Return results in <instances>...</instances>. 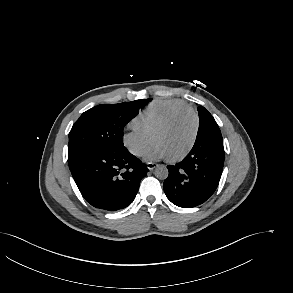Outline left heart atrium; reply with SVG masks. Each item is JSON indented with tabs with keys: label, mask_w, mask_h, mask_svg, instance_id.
<instances>
[{
	"label": "left heart atrium",
	"mask_w": 293,
	"mask_h": 293,
	"mask_svg": "<svg viewBox=\"0 0 293 293\" xmlns=\"http://www.w3.org/2000/svg\"><path fill=\"white\" fill-rule=\"evenodd\" d=\"M167 157L168 154L166 150L158 143H153V145L145 153V159L148 161H156Z\"/></svg>",
	"instance_id": "obj_1"
}]
</instances>
